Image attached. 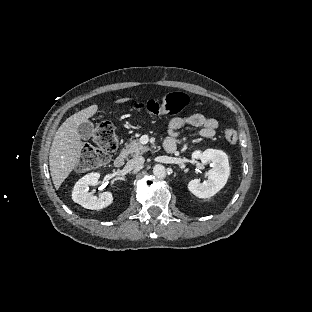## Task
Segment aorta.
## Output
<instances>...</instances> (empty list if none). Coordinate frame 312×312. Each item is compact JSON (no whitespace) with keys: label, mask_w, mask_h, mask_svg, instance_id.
Instances as JSON below:
<instances>
[{"label":"aorta","mask_w":312,"mask_h":312,"mask_svg":"<svg viewBox=\"0 0 312 312\" xmlns=\"http://www.w3.org/2000/svg\"><path fill=\"white\" fill-rule=\"evenodd\" d=\"M153 173L159 179H164L167 176L166 168L163 165H156L153 168Z\"/></svg>","instance_id":"762f6f07"}]
</instances>
